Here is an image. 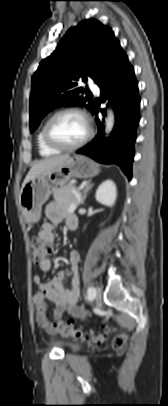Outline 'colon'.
I'll use <instances>...</instances> for the list:
<instances>
[{"label": "colon", "instance_id": "1", "mask_svg": "<svg viewBox=\"0 0 168 406\" xmlns=\"http://www.w3.org/2000/svg\"><path fill=\"white\" fill-rule=\"evenodd\" d=\"M32 256L35 264L41 265L45 263L51 253L52 246L44 242L38 237H34L31 241ZM54 328L64 336L75 337L77 339H88L94 343H102L105 336L102 334H88L80 329L74 328L73 324L65 320H55L53 323ZM126 344L125 335H118L113 339V347L116 350L122 349Z\"/></svg>", "mask_w": 168, "mask_h": 406}]
</instances>
